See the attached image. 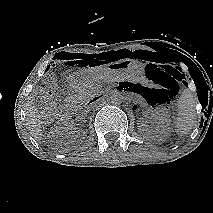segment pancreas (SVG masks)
I'll return each instance as SVG.
<instances>
[{
	"instance_id": "1",
	"label": "pancreas",
	"mask_w": 213,
	"mask_h": 213,
	"mask_svg": "<svg viewBox=\"0 0 213 213\" xmlns=\"http://www.w3.org/2000/svg\"><path fill=\"white\" fill-rule=\"evenodd\" d=\"M97 94V84L89 83L84 85L79 90V100L81 102H87L91 100Z\"/></svg>"
}]
</instances>
